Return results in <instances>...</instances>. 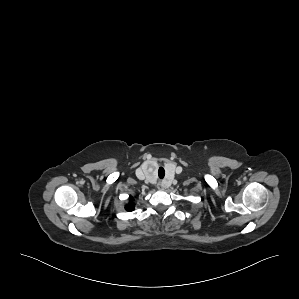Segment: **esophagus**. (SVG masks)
<instances>
[{
    "instance_id": "obj_1",
    "label": "esophagus",
    "mask_w": 299,
    "mask_h": 299,
    "mask_svg": "<svg viewBox=\"0 0 299 299\" xmlns=\"http://www.w3.org/2000/svg\"><path fill=\"white\" fill-rule=\"evenodd\" d=\"M157 188L159 190H164V184H163V182H159L158 185H157Z\"/></svg>"
}]
</instances>
